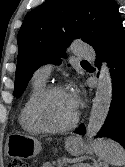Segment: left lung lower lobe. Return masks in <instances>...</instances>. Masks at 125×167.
I'll list each match as a JSON object with an SVG mask.
<instances>
[{
	"mask_svg": "<svg viewBox=\"0 0 125 167\" xmlns=\"http://www.w3.org/2000/svg\"><path fill=\"white\" fill-rule=\"evenodd\" d=\"M96 52V67L106 59L112 78V101L107 118L96 137H106L125 148V33L121 17L111 26L106 37L93 46ZM84 135L83 124L74 131Z\"/></svg>",
	"mask_w": 125,
	"mask_h": 167,
	"instance_id": "obj_1",
	"label": "left lung lower lobe"
}]
</instances>
